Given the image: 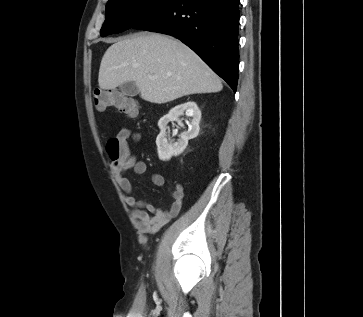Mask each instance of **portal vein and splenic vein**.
<instances>
[{"label": "portal vein and splenic vein", "instance_id": "1", "mask_svg": "<svg viewBox=\"0 0 363 317\" xmlns=\"http://www.w3.org/2000/svg\"><path fill=\"white\" fill-rule=\"evenodd\" d=\"M149 79L154 80L155 78L153 76H149Z\"/></svg>", "mask_w": 363, "mask_h": 317}]
</instances>
